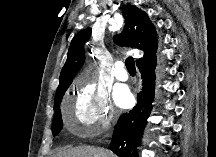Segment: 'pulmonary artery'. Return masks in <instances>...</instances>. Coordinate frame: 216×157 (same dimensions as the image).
I'll use <instances>...</instances> for the list:
<instances>
[{"label": "pulmonary artery", "mask_w": 216, "mask_h": 157, "mask_svg": "<svg viewBox=\"0 0 216 157\" xmlns=\"http://www.w3.org/2000/svg\"><path fill=\"white\" fill-rule=\"evenodd\" d=\"M114 75L116 79L120 81H125L128 78V73L126 71L125 65L122 61H116L114 64Z\"/></svg>", "instance_id": "obj_1"}]
</instances>
